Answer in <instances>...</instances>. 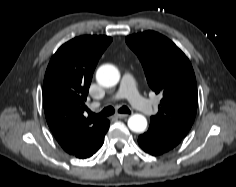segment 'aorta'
<instances>
[{"label":"aorta","mask_w":236,"mask_h":187,"mask_svg":"<svg viewBox=\"0 0 236 187\" xmlns=\"http://www.w3.org/2000/svg\"><path fill=\"white\" fill-rule=\"evenodd\" d=\"M96 80L103 87H113L119 82L120 73L115 66L105 64L98 68ZM128 127L133 132L142 133L147 127V120L141 114H134L128 119Z\"/></svg>","instance_id":"762f6f07"}]
</instances>
